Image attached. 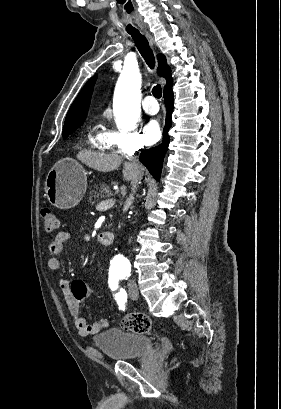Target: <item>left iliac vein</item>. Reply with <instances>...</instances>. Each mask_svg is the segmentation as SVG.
I'll return each instance as SVG.
<instances>
[{
  "label": "left iliac vein",
  "instance_id": "1",
  "mask_svg": "<svg viewBox=\"0 0 281 409\" xmlns=\"http://www.w3.org/2000/svg\"><path fill=\"white\" fill-rule=\"evenodd\" d=\"M129 296L133 300L138 299V289H137V286L134 283L129 284Z\"/></svg>",
  "mask_w": 281,
  "mask_h": 409
}]
</instances>
